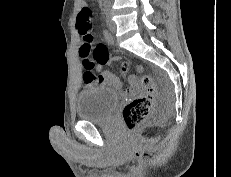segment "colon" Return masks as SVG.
Masks as SVG:
<instances>
[{
	"label": "colon",
	"instance_id": "1",
	"mask_svg": "<svg viewBox=\"0 0 231 177\" xmlns=\"http://www.w3.org/2000/svg\"><path fill=\"white\" fill-rule=\"evenodd\" d=\"M79 33L82 36V44L79 50L83 58V66L86 70L84 81L87 85L97 84L99 76L92 70L96 64H106L110 61H118L120 58L111 56L103 45H94L92 35V11L89 7L83 8L76 21ZM123 72H127L129 66L126 62L121 63ZM141 93L131 99L123 108L122 115L125 125L129 130L139 127L147 118L152 105L157 97V88L149 75H141L138 78Z\"/></svg>",
	"mask_w": 231,
	"mask_h": 177
}]
</instances>
